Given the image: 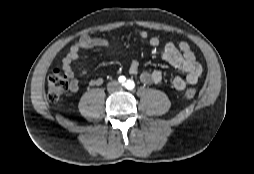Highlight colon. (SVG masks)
<instances>
[{"mask_svg":"<svg viewBox=\"0 0 254 174\" xmlns=\"http://www.w3.org/2000/svg\"><path fill=\"white\" fill-rule=\"evenodd\" d=\"M70 89L68 75L61 68H55L48 76L47 96L51 101L59 100ZM184 95L188 99L196 96V91L192 88L185 90Z\"/></svg>","mask_w":254,"mask_h":174,"instance_id":"obj_1","label":"colon"}]
</instances>
